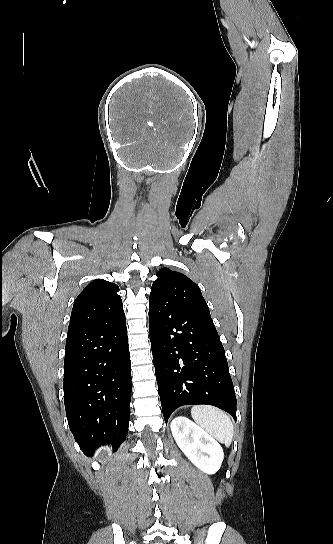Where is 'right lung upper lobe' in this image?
Masks as SVG:
<instances>
[{"label": "right lung upper lobe", "instance_id": "right-lung-upper-lobe-1", "mask_svg": "<svg viewBox=\"0 0 333 544\" xmlns=\"http://www.w3.org/2000/svg\"><path fill=\"white\" fill-rule=\"evenodd\" d=\"M118 291L119 287L116 284L103 279L91 282L74 302L68 332L115 318L123 313Z\"/></svg>", "mask_w": 333, "mask_h": 544}]
</instances>
